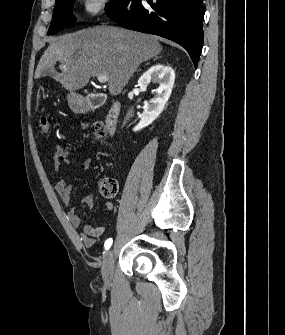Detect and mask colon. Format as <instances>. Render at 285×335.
Here are the masks:
<instances>
[{
	"label": "colon",
	"instance_id": "colon-1",
	"mask_svg": "<svg viewBox=\"0 0 285 335\" xmlns=\"http://www.w3.org/2000/svg\"><path fill=\"white\" fill-rule=\"evenodd\" d=\"M89 128L96 140H102L106 137V127L102 123L95 122L89 125ZM40 130L43 134H48L50 124L45 116L40 118ZM100 192L107 198H113L118 192V183L114 178L106 177L100 182Z\"/></svg>",
	"mask_w": 285,
	"mask_h": 335
}]
</instances>
